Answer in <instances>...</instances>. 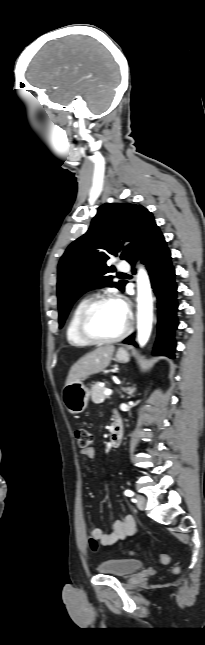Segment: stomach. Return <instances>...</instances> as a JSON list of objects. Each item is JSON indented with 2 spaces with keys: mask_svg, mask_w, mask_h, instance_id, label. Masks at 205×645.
Segmentation results:
<instances>
[{
  "mask_svg": "<svg viewBox=\"0 0 205 645\" xmlns=\"http://www.w3.org/2000/svg\"><path fill=\"white\" fill-rule=\"evenodd\" d=\"M115 359L120 363H127L130 355L124 348H119L116 352ZM89 397L90 391L82 381L67 384L62 390L63 404L73 414H79L86 409Z\"/></svg>",
  "mask_w": 205,
  "mask_h": 645,
  "instance_id": "0dacf381",
  "label": "stomach"
}]
</instances>
